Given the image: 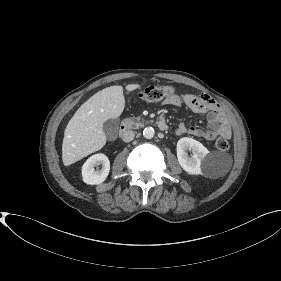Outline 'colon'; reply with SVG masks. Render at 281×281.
<instances>
[{"label": "colon", "instance_id": "obj_1", "mask_svg": "<svg viewBox=\"0 0 281 281\" xmlns=\"http://www.w3.org/2000/svg\"><path fill=\"white\" fill-rule=\"evenodd\" d=\"M171 92L172 89L170 87L151 86L142 90L138 96L143 101L156 102L161 100L163 97L170 95ZM215 146L220 151H227L230 148V144L225 138L217 139Z\"/></svg>", "mask_w": 281, "mask_h": 281}]
</instances>
